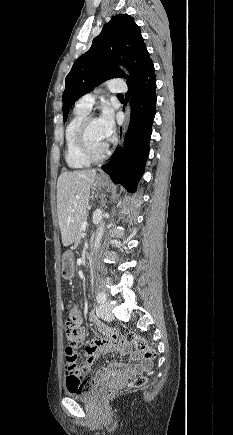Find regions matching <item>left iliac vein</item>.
I'll use <instances>...</instances> for the list:
<instances>
[{
    "label": "left iliac vein",
    "instance_id": "left-iliac-vein-1",
    "mask_svg": "<svg viewBox=\"0 0 233 435\" xmlns=\"http://www.w3.org/2000/svg\"><path fill=\"white\" fill-rule=\"evenodd\" d=\"M99 314L101 318L105 321H111L113 319V315L111 312V307L108 302H103L98 307Z\"/></svg>",
    "mask_w": 233,
    "mask_h": 435
}]
</instances>
